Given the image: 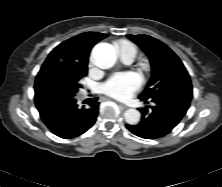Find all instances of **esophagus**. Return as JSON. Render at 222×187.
I'll return each instance as SVG.
<instances>
[{"instance_id":"1","label":"esophagus","mask_w":222,"mask_h":187,"mask_svg":"<svg viewBox=\"0 0 222 187\" xmlns=\"http://www.w3.org/2000/svg\"><path fill=\"white\" fill-rule=\"evenodd\" d=\"M118 105H119L120 107H122L123 109H127V108H128V106L125 105V104H123V103H118Z\"/></svg>"}]
</instances>
